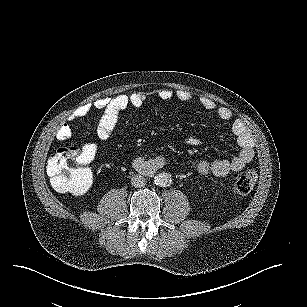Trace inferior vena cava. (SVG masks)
<instances>
[{
    "instance_id": "602c4592",
    "label": "inferior vena cava",
    "mask_w": 307,
    "mask_h": 307,
    "mask_svg": "<svg viewBox=\"0 0 307 307\" xmlns=\"http://www.w3.org/2000/svg\"><path fill=\"white\" fill-rule=\"evenodd\" d=\"M131 186L135 188H141L146 184V178L140 174H134L130 179Z\"/></svg>"
}]
</instances>
